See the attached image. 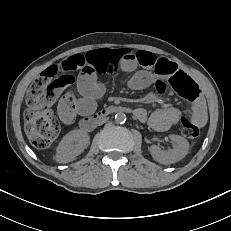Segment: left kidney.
<instances>
[{
    "instance_id": "5707ae66",
    "label": "left kidney",
    "mask_w": 231,
    "mask_h": 231,
    "mask_svg": "<svg viewBox=\"0 0 231 231\" xmlns=\"http://www.w3.org/2000/svg\"><path fill=\"white\" fill-rule=\"evenodd\" d=\"M169 138L174 143L173 149L163 151L156 145H151L149 148L153 159L161 164L178 162L187 155L189 150V142L185 138L179 135H170Z\"/></svg>"
}]
</instances>
